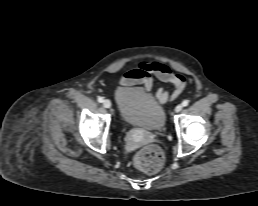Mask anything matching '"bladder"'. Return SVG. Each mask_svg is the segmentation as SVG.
I'll return each mask as SVG.
<instances>
[{
	"instance_id": "1",
	"label": "bladder",
	"mask_w": 258,
	"mask_h": 206,
	"mask_svg": "<svg viewBox=\"0 0 258 206\" xmlns=\"http://www.w3.org/2000/svg\"><path fill=\"white\" fill-rule=\"evenodd\" d=\"M115 99L122 120L147 131H159L166 121L164 107L152 94L140 87L122 86L115 91Z\"/></svg>"
}]
</instances>
